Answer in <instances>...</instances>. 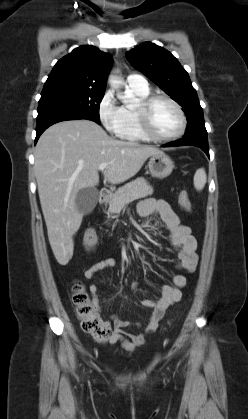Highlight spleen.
Returning <instances> with one entry per match:
<instances>
[{
  "instance_id": "1",
  "label": "spleen",
  "mask_w": 248,
  "mask_h": 419,
  "mask_svg": "<svg viewBox=\"0 0 248 419\" xmlns=\"http://www.w3.org/2000/svg\"><path fill=\"white\" fill-rule=\"evenodd\" d=\"M207 181V176L204 168H200L196 171L194 175V187L196 190L200 191L204 188Z\"/></svg>"
}]
</instances>
